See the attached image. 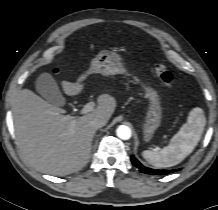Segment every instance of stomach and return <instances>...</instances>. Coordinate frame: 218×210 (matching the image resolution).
<instances>
[{
    "label": "stomach",
    "instance_id": "stomach-1",
    "mask_svg": "<svg viewBox=\"0 0 218 210\" xmlns=\"http://www.w3.org/2000/svg\"><path fill=\"white\" fill-rule=\"evenodd\" d=\"M90 72L102 75L128 74L123 58L116 52L111 50H103L92 60ZM137 83H140L145 97L149 104L146 111L145 119L142 124L144 141L152 140L156 130L162 122V106L158 92L151 86L142 83L137 77H134Z\"/></svg>",
    "mask_w": 218,
    "mask_h": 210
}]
</instances>
